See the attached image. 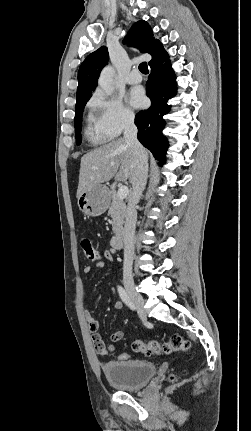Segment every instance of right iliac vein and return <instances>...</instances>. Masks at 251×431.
Wrapping results in <instances>:
<instances>
[{"mask_svg": "<svg viewBox=\"0 0 251 431\" xmlns=\"http://www.w3.org/2000/svg\"><path fill=\"white\" fill-rule=\"evenodd\" d=\"M125 289L133 300L136 307L139 309L141 317L143 319H146V313L144 310V299L142 295L136 291L134 284L131 282H125Z\"/></svg>", "mask_w": 251, "mask_h": 431, "instance_id": "obj_1", "label": "right iliac vein"}]
</instances>
